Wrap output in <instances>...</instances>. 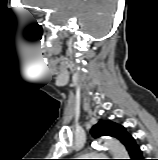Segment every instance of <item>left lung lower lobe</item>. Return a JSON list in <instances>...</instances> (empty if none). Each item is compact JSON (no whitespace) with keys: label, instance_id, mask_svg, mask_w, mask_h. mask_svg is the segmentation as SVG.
Segmentation results:
<instances>
[{"label":"left lung lower lobe","instance_id":"obj_1","mask_svg":"<svg viewBox=\"0 0 158 160\" xmlns=\"http://www.w3.org/2000/svg\"><path fill=\"white\" fill-rule=\"evenodd\" d=\"M123 144L128 151L130 160H144L140 147L137 145L135 139L130 134L127 136Z\"/></svg>","mask_w":158,"mask_h":160}]
</instances>
